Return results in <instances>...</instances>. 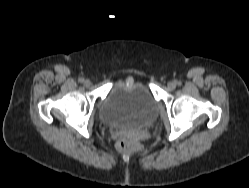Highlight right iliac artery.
Returning a JSON list of instances; mask_svg holds the SVG:
<instances>
[{"label": "right iliac artery", "mask_w": 249, "mask_h": 188, "mask_svg": "<svg viewBox=\"0 0 249 188\" xmlns=\"http://www.w3.org/2000/svg\"><path fill=\"white\" fill-rule=\"evenodd\" d=\"M78 81H79L80 83H82V82H84V79H83L82 77H80V78L78 79Z\"/></svg>", "instance_id": "obj_1"}]
</instances>
